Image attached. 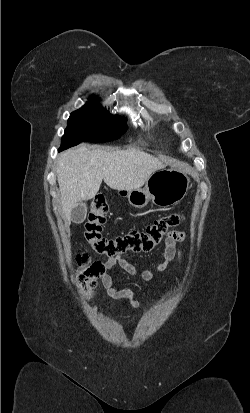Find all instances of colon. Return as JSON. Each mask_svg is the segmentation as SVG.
I'll use <instances>...</instances> for the list:
<instances>
[{"label":"colon","instance_id":"1","mask_svg":"<svg viewBox=\"0 0 250 413\" xmlns=\"http://www.w3.org/2000/svg\"><path fill=\"white\" fill-rule=\"evenodd\" d=\"M107 213L108 204L105 198L96 197L91 203L88 221L85 225L87 242L94 252L106 256H115L125 252H148L182 221L180 213H171L154 221L142 231L135 230L123 236L108 239L102 235ZM78 263L83 265L78 276L81 289L87 296H92L96 280L103 274L104 267L100 262H89L87 255L79 256Z\"/></svg>","mask_w":250,"mask_h":413}]
</instances>
